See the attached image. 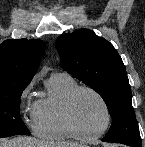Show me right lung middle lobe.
Masks as SVG:
<instances>
[{
    "label": "right lung middle lobe",
    "instance_id": "right-lung-middle-lobe-1",
    "mask_svg": "<svg viewBox=\"0 0 145 147\" xmlns=\"http://www.w3.org/2000/svg\"><path fill=\"white\" fill-rule=\"evenodd\" d=\"M27 86L0 92V137L31 135L20 118V97Z\"/></svg>",
    "mask_w": 145,
    "mask_h": 147
}]
</instances>
